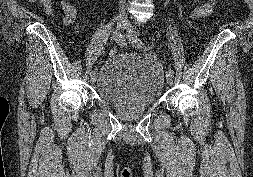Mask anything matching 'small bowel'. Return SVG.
Masks as SVG:
<instances>
[{
	"mask_svg": "<svg viewBox=\"0 0 253 177\" xmlns=\"http://www.w3.org/2000/svg\"><path fill=\"white\" fill-rule=\"evenodd\" d=\"M30 3H40L44 8L46 14H51L52 12V2L51 0H28ZM191 4H196L199 0H188ZM61 9L63 11V16L61 18V23L64 25H70L76 20V9L68 2V0H60ZM217 5V0H208L205 4L198 5L192 11L191 17L201 18L209 15L215 6Z\"/></svg>",
	"mask_w": 253,
	"mask_h": 177,
	"instance_id": "1",
	"label": "small bowel"
}]
</instances>
